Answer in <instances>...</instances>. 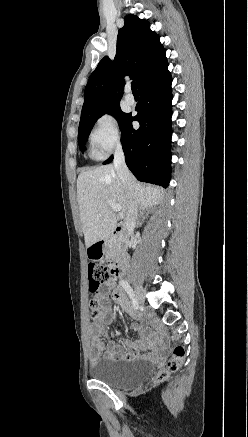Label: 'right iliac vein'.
<instances>
[{"label":"right iliac vein","mask_w":248,"mask_h":437,"mask_svg":"<svg viewBox=\"0 0 248 437\" xmlns=\"http://www.w3.org/2000/svg\"><path fill=\"white\" fill-rule=\"evenodd\" d=\"M135 296L138 303L142 304L145 299V292L141 285L135 284Z\"/></svg>","instance_id":"obj_1"}]
</instances>
